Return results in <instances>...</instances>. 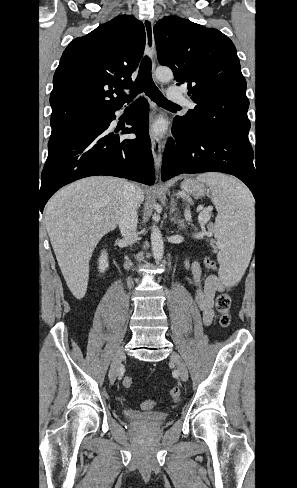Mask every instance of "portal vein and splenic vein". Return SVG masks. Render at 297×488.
Listing matches in <instances>:
<instances>
[{"label":"portal vein and splenic vein","mask_w":297,"mask_h":488,"mask_svg":"<svg viewBox=\"0 0 297 488\" xmlns=\"http://www.w3.org/2000/svg\"><path fill=\"white\" fill-rule=\"evenodd\" d=\"M212 211V207L205 208L198 216V219L200 221L206 220L207 218L210 217V212ZM185 220L190 221L191 220V213L190 210H186L185 212Z\"/></svg>","instance_id":"1"}]
</instances>
